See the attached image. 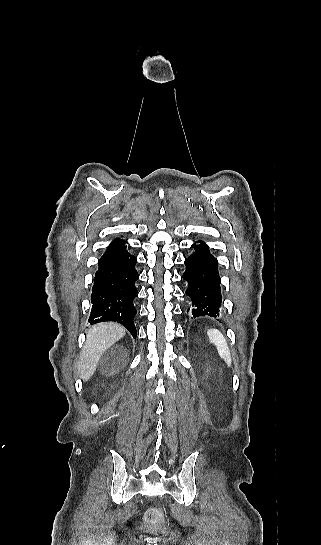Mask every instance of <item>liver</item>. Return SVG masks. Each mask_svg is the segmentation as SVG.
<instances>
[{
	"instance_id": "6515ba94",
	"label": "liver",
	"mask_w": 321,
	"mask_h": 545,
	"mask_svg": "<svg viewBox=\"0 0 321 545\" xmlns=\"http://www.w3.org/2000/svg\"><path fill=\"white\" fill-rule=\"evenodd\" d=\"M125 333L124 327L114 325V323H99V325H94L89 329L77 367L83 381H88L92 377L102 355L111 345L122 339Z\"/></svg>"
}]
</instances>
